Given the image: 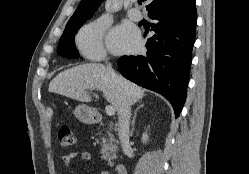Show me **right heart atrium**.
Returning <instances> with one entry per match:
<instances>
[{
    "label": "right heart atrium",
    "instance_id": "right-heart-atrium-1",
    "mask_svg": "<svg viewBox=\"0 0 249 174\" xmlns=\"http://www.w3.org/2000/svg\"><path fill=\"white\" fill-rule=\"evenodd\" d=\"M108 29L106 20L100 18L83 25L75 37V44L84 57L100 61L106 57L104 37Z\"/></svg>",
    "mask_w": 249,
    "mask_h": 174
}]
</instances>
